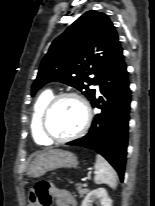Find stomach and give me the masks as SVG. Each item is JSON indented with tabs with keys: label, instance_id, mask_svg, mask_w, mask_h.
Instances as JSON below:
<instances>
[{
	"label": "stomach",
	"instance_id": "0dacf381",
	"mask_svg": "<svg viewBox=\"0 0 155 206\" xmlns=\"http://www.w3.org/2000/svg\"><path fill=\"white\" fill-rule=\"evenodd\" d=\"M78 159L75 154L61 150L52 149L39 154L31 163L28 175L38 178L58 168H76Z\"/></svg>",
	"mask_w": 155,
	"mask_h": 206
}]
</instances>
